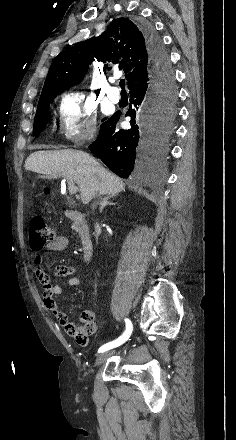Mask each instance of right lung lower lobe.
I'll list each match as a JSON object with an SVG mask.
<instances>
[{
	"instance_id": "obj_1",
	"label": "right lung lower lobe",
	"mask_w": 236,
	"mask_h": 440,
	"mask_svg": "<svg viewBox=\"0 0 236 440\" xmlns=\"http://www.w3.org/2000/svg\"><path fill=\"white\" fill-rule=\"evenodd\" d=\"M140 27L149 52L151 78L148 83L129 92L131 103L126 116L131 117L132 127L115 131L120 118V113L116 112L103 119L98 139L89 146L92 153L122 178H128L134 170L144 169L153 158L164 152L154 88L168 81L175 83L170 58L161 38L151 26L142 24Z\"/></svg>"
}]
</instances>
